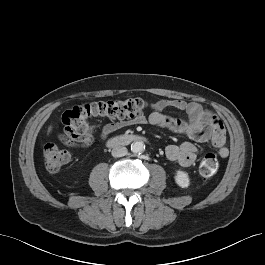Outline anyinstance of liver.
<instances>
[{
  "label": "liver",
  "mask_w": 265,
  "mask_h": 265,
  "mask_svg": "<svg viewBox=\"0 0 265 265\" xmlns=\"http://www.w3.org/2000/svg\"><path fill=\"white\" fill-rule=\"evenodd\" d=\"M51 130H52V127L50 126V127L48 128V133H50Z\"/></svg>",
  "instance_id": "1"
}]
</instances>
